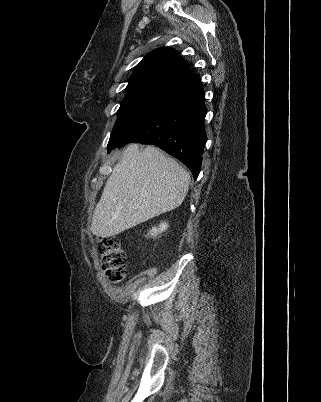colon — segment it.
<instances>
[{
  "mask_svg": "<svg viewBox=\"0 0 321 402\" xmlns=\"http://www.w3.org/2000/svg\"><path fill=\"white\" fill-rule=\"evenodd\" d=\"M97 249L105 278L112 284L120 283L127 271V257L121 242L113 236L100 237Z\"/></svg>",
  "mask_w": 321,
  "mask_h": 402,
  "instance_id": "colon-1",
  "label": "colon"
}]
</instances>
